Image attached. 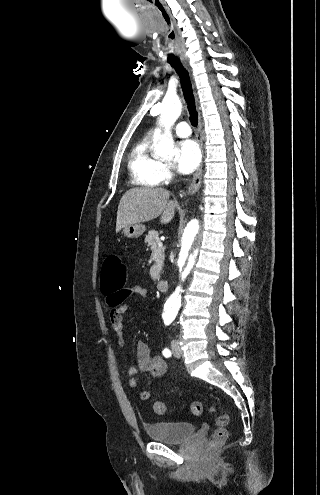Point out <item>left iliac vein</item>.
<instances>
[{
    "label": "left iliac vein",
    "instance_id": "left-iliac-vein-1",
    "mask_svg": "<svg viewBox=\"0 0 320 495\" xmlns=\"http://www.w3.org/2000/svg\"><path fill=\"white\" fill-rule=\"evenodd\" d=\"M171 351L173 353V355L176 357V358H180L181 357V350L180 348L178 347V344L175 340H173L171 342Z\"/></svg>",
    "mask_w": 320,
    "mask_h": 495
}]
</instances>
